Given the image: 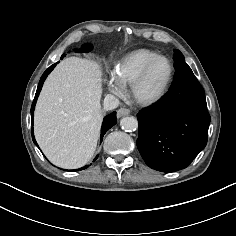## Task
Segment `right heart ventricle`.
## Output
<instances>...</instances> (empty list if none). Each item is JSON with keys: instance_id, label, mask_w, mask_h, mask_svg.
I'll use <instances>...</instances> for the list:
<instances>
[{"instance_id": "e07e8e85", "label": "right heart ventricle", "mask_w": 236, "mask_h": 236, "mask_svg": "<svg viewBox=\"0 0 236 236\" xmlns=\"http://www.w3.org/2000/svg\"><path fill=\"white\" fill-rule=\"evenodd\" d=\"M159 54L150 49H137L122 58L114 65L113 76L123 86H129L133 83L143 67Z\"/></svg>"}]
</instances>
